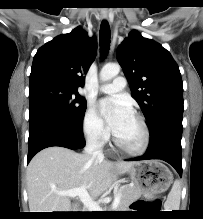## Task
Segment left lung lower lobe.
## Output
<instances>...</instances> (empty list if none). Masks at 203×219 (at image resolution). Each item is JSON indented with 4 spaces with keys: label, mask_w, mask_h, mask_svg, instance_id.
<instances>
[{
    "label": "left lung lower lobe",
    "mask_w": 203,
    "mask_h": 219,
    "mask_svg": "<svg viewBox=\"0 0 203 219\" xmlns=\"http://www.w3.org/2000/svg\"><path fill=\"white\" fill-rule=\"evenodd\" d=\"M182 118L163 122L150 132V143L146 153L131 160L161 159L172 165L182 176L181 137Z\"/></svg>",
    "instance_id": "obj_1"
}]
</instances>
